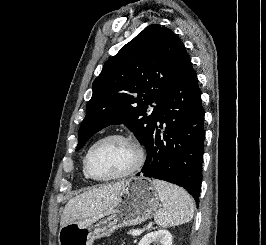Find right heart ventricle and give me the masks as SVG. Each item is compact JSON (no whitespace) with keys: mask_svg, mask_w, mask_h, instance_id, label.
<instances>
[{"mask_svg":"<svg viewBox=\"0 0 266 245\" xmlns=\"http://www.w3.org/2000/svg\"><path fill=\"white\" fill-rule=\"evenodd\" d=\"M81 172H82V176L84 177V179L89 180V181L92 180V179H90V178L88 177V175H87L86 172H85V169H84V158H83V160H82V164H81Z\"/></svg>","mask_w":266,"mask_h":245,"instance_id":"right-heart-ventricle-1","label":"right heart ventricle"}]
</instances>
